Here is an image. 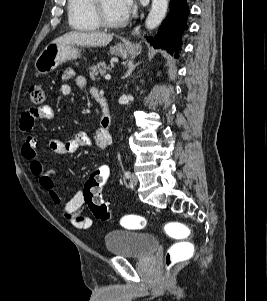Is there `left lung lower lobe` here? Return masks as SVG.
Instances as JSON below:
<instances>
[{"label":"left lung lower lobe","mask_w":267,"mask_h":301,"mask_svg":"<svg viewBox=\"0 0 267 301\" xmlns=\"http://www.w3.org/2000/svg\"><path fill=\"white\" fill-rule=\"evenodd\" d=\"M189 8L187 0H170V12L159 28V32L154 36L147 37L155 48H163L167 52L175 54L181 50V36L187 29V17Z\"/></svg>","instance_id":"left-lung-lower-lobe-1"}]
</instances>
